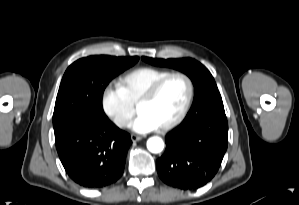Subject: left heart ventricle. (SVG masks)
<instances>
[{"instance_id":"1","label":"left heart ventricle","mask_w":299,"mask_h":205,"mask_svg":"<svg viewBox=\"0 0 299 205\" xmlns=\"http://www.w3.org/2000/svg\"><path fill=\"white\" fill-rule=\"evenodd\" d=\"M187 93V84L183 79L171 78L162 86L153 100L139 108V113L148 115L160 127L179 114Z\"/></svg>"}]
</instances>
